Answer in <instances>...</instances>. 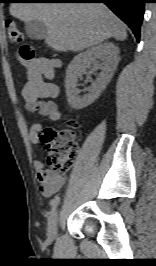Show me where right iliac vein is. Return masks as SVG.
I'll return each instance as SVG.
<instances>
[{
  "instance_id": "right-iliac-vein-1",
  "label": "right iliac vein",
  "mask_w": 156,
  "mask_h": 266,
  "mask_svg": "<svg viewBox=\"0 0 156 266\" xmlns=\"http://www.w3.org/2000/svg\"><path fill=\"white\" fill-rule=\"evenodd\" d=\"M57 221H58V211L55 210L49 217L47 235L48 239L53 241L57 235Z\"/></svg>"
}]
</instances>
